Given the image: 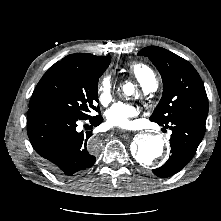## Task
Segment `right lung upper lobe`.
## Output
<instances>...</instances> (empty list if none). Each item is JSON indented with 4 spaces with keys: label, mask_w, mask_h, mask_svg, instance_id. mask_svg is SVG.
I'll return each mask as SVG.
<instances>
[{
    "label": "right lung upper lobe",
    "mask_w": 221,
    "mask_h": 221,
    "mask_svg": "<svg viewBox=\"0 0 221 221\" xmlns=\"http://www.w3.org/2000/svg\"><path fill=\"white\" fill-rule=\"evenodd\" d=\"M110 56H95L92 54L75 53L63 58L62 61L83 67H92L105 64Z\"/></svg>",
    "instance_id": "right-lung-upper-lobe-1"
}]
</instances>
